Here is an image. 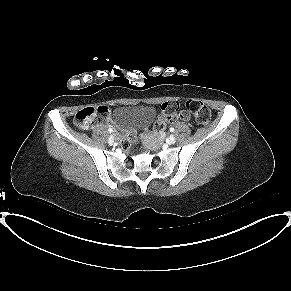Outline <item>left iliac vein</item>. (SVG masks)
I'll use <instances>...</instances> for the list:
<instances>
[{
  "mask_svg": "<svg viewBox=\"0 0 291 291\" xmlns=\"http://www.w3.org/2000/svg\"><path fill=\"white\" fill-rule=\"evenodd\" d=\"M169 144H174L176 142V138L174 135H170L168 139Z\"/></svg>",
  "mask_w": 291,
  "mask_h": 291,
  "instance_id": "1",
  "label": "left iliac vein"
}]
</instances>
